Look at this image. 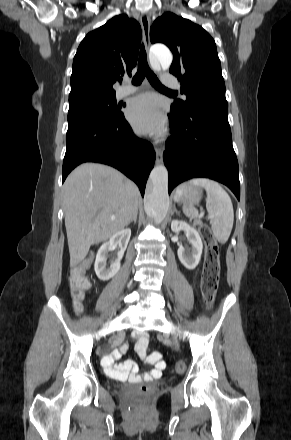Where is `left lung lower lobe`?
I'll list each match as a JSON object with an SVG mask.
<instances>
[{
	"label": "left lung lower lobe",
	"mask_w": 291,
	"mask_h": 440,
	"mask_svg": "<svg viewBox=\"0 0 291 440\" xmlns=\"http://www.w3.org/2000/svg\"><path fill=\"white\" fill-rule=\"evenodd\" d=\"M169 119L172 136L164 152L169 193L187 179L206 177L228 186L240 200L228 109L193 107L184 115L171 111Z\"/></svg>",
	"instance_id": "obj_1"
}]
</instances>
